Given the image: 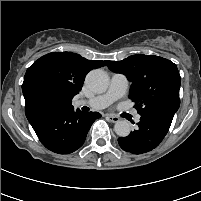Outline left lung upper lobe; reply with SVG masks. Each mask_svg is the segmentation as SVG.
Segmentation results:
<instances>
[{"label":"left lung upper lobe","instance_id":"1","mask_svg":"<svg viewBox=\"0 0 201 201\" xmlns=\"http://www.w3.org/2000/svg\"><path fill=\"white\" fill-rule=\"evenodd\" d=\"M109 69L132 82L130 99L141 117L162 114L173 117L180 106L181 77L176 64L159 56L132 55L122 61H106Z\"/></svg>","mask_w":201,"mask_h":201}]
</instances>
